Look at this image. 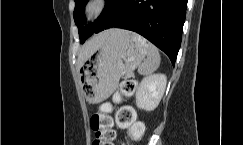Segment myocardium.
Listing matches in <instances>:
<instances>
[{
    "label": "myocardium",
    "mask_w": 243,
    "mask_h": 145,
    "mask_svg": "<svg viewBox=\"0 0 243 145\" xmlns=\"http://www.w3.org/2000/svg\"><path fill=\"white\" fill-rule=\"evenodd\" d=\"M112 5V0H87L83 16L86 22L94 23L102 17Z\"/></svg>",
    "instance_id": "1"
}]
</instances>
